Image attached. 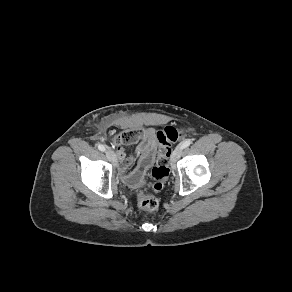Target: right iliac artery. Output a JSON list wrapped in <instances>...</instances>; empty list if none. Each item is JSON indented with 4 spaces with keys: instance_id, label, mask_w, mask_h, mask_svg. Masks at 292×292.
<instances>
[{
    "instance_id": "obj_1",
    "label": "right iliac artery",
    "mask_w": 292,
    "mask_h": 292,
    "mask_svg": "<svg viewBox=\"0 0 292 292\" xmlns=\"http://www.w3.org/2000/svg\"><path fill=\"white\" fill-rule=\"evenodd\" d=\"M98 149H99L100 151H103V152L106 150L105 146L102 145V144H99V145H98Z\"/></svg>"
}]
</instances>
